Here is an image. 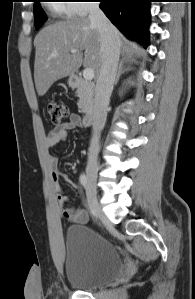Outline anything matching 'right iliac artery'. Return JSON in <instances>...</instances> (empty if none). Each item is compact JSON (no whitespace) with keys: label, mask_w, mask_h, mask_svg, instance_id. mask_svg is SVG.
Listing matches in <instances>:
<instances>
[{"label":"right iliac artery","mask_w":195,"mask_h":299,"mask_svg":"<svg viewBox=\"0 0 195 299\" xmlns=\"http://www.w3.org/2000/svg\"><path fill=\"white\" fill-rule=\"evenodd\" d=\"M80 183L83 187H86L87 185V177L85 174L80 175Z\"/></svg>","instance_id":"obj_1"}]
</instances>
